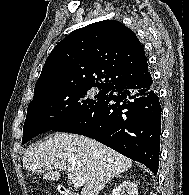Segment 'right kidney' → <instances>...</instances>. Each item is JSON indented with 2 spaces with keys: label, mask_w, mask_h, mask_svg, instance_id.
<instances>
[{
  "label": "right kidney",
  "mask_w": 189,
  "mask_h": 195,
  "mask_svg": "<svg viewBox=\"0 0 189 195\" xmlns=\"http://www.w3.org/2000/svg\"><path fill=\"white\" fill-rule=\"evenodd\" d=\"M112 195H138L137 185L130 180H125L113 189Z\"/></svg>",
  "instance_id": "1"
}]
</instances>
